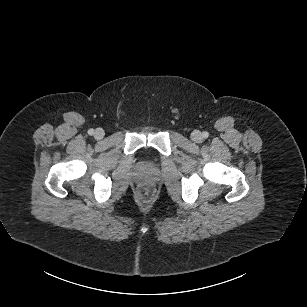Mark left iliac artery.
<instances>
[{
	"label": "left iliac artery",
	"mask_w": 307,
	"mask_h": 307,
	"mask_svg": "<svg viewBox=\"0 0 307 307\" xmlns=\"http://www.w3.org/2000/svg\"><path fill=\"white\" fill-rule=\"evenodd\" d=\"M202 136H203V138H208L209 133H208V132H206V131H204V132H203V134H202Z\"/></svg>",
	"instance_id": "1"
}]
</instances>
